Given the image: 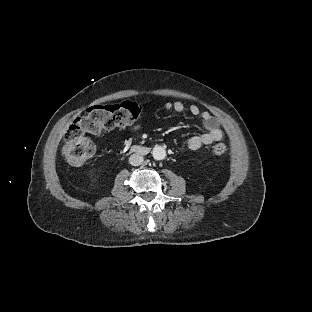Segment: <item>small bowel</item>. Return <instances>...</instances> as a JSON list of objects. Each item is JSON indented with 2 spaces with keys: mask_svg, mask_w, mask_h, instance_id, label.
Returning a JSON list of instances; mask_svg holds the SVG:
<instances>
[{
  "mask_svg": "<svg viewBox=\"0 0 312 312\" xmlns=\"http://www.w3.org/2000/svg\"><path fill=\"white\" fill-rule=\"evenodd\" d=\"M167 110H174L177 113H182L185 110V105L180 101L167 102L165 104ZM192 116L200 117L206 132L200 135L192 136L188 140V148L190 150H197L203 145H209L222 139L223 131L221 129L220 120L209 113L208 111L202 110L198 105L192 104L188 109ZM141 127L140 122L134 123L131 128L132 130H138Z\"/></svg>",
  "mask_w": 312,
  "mask_h": 312,
  "instance_id": "1",
  "label": "small bowel"
}]
</instances>
